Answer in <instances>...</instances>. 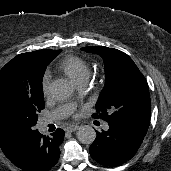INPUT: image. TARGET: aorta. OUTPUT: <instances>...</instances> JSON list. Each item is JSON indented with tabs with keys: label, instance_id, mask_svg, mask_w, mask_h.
<instances>
[{
	"label": "aorta",
	"instance_id": "aorta-1",
	"mask_svg": "<svg viewBox=\"0 0 171 171\" xmlns=\"http://www.w3.org/2000/svg\"><path fill=\"white\" fill-rule=\"evenodd\" d=\"M73 91V84L66 79H57L50 85V93L56 100L69 98ZM77 138L83 144H92L96 139V132L91 126H82L77 131Z\"/></svg>",
	"mask_w": 171,
	"mask_h": 171
}]
</instances>
